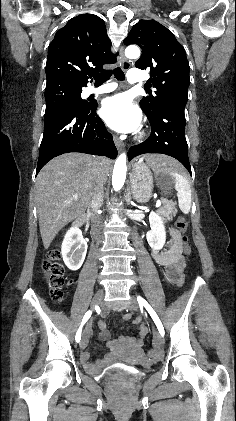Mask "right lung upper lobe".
<instances>
[{"label": "right lung upper lobe", "instance_id": "obj_1", "mask_svg": "<svg viewBox=\"0 0 236 421\" xmlns=\"http://www.w3.org/2000/svg\"><path fill=\"white\" fill-rule=\"evenodd\" d=\"M104 21L93 14L71 19L57 31L48 49L47 85L82 88L103 65L116 62ZM94 67V68H93Z\"/></svg>", "mask_w": 236, "mask_h": 421}]
</instances>
